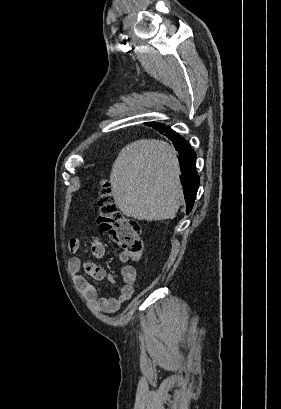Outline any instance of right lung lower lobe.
Returning <instances> with one entry per match:
<instances>
[{
    "label": "right lung lower lobe",
    "mask_w": 281,
    "mask_h": 409,
    "mask_svg": "<svg viewBox=\"0 0 281 409\" xmlns=\"http://www.w3.org/2000/svg\"><path fill=\"white\" fill-rule=\"evenodd\" d=\"M159 132L164 133L173 142L181 157L179 162L184 183L186 212L188 214L193 207L199 187V176L195 168L196 153L189 147L184 138L169 127Z\"/></svg>",
    "instance_id": "right-lung-lower-lobe-1"
}]
</instances>
